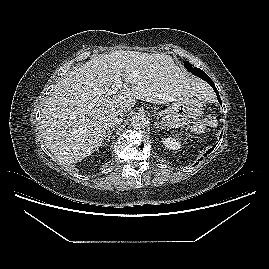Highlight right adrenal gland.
Returning <instances> with one entry per match:
<instances>
[{"instance_id":"obj_1","label":"right adrenal gland","mask_w":269,"mask_h":269,"mask_svg":"<svg viewBox=\"0 0 269 269\" xmlns=\"http://www.w3.org/2000/svg\"><path fill=\"white\" fill-rule=\"evenodd\" d=\"M114 130H115V128L108 129L107 134H106V136H105V138H104V140H105L106 142H109V141H110L111 133H112ZM103 142H104V141H103ZM105 144H106V143H105Z\"/></svg>"}]
</instances>
